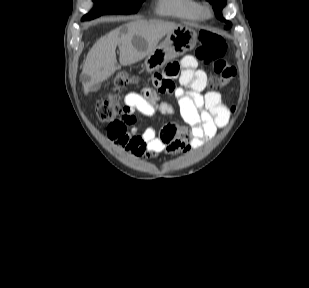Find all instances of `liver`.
<instances>
[{"mask_svg":"<svg viewBox=\"0 0 309 288\" xmlns=\"http://www.w3.org/2000/svg\"><path fill=\"white\" fill-rule=\"evenodd\" d=\"M179 25L174 22L151 19H135L120 26L101 37L87 54L82 75L86 77L83 84L84 93L90 88L108 79L121 68L134 64L151 54L160 39L169 34ZM139 36L146 42V48L140 50L133 44V38ZM119 47L120 57L117 63L116 47Z\"/></svg>","mask_w":309,"mask_h":288,"instance_id":"1","label":"liver"}]
</instances>
